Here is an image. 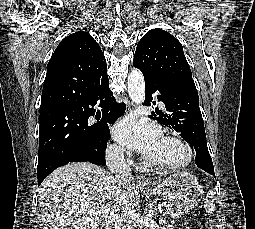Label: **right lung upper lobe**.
<instances>
[{"instance_id": "right-lung-upper-lobe-1", "label": "right lung upper lobe", "mask_w": 255, "mask_h": 229, "mask_svg": "<svg viewBox=\"0 0 255 229\" xmlns=\"http://www.w3.org/2000/svg\"><path fill=\"white\" fill-rule=\"evenodd\" d=\"M106 68L104 54L89 33L78 31L67 36L47 65L40 112L82 100L102 82Z\"/></svg>"}]
</instances>
